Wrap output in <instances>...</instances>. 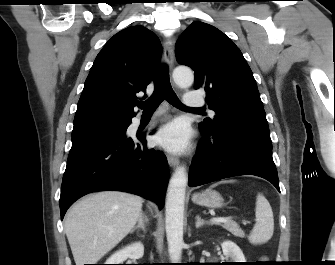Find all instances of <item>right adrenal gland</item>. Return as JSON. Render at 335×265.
Wrapping results in <instances>:
<instances>
[{"label":"right adrenal gland","instance_id":"2a0ac1e0","mask_svg":"<svg viewBox=\"0 0 335 265\" xmlns=\"http://www.w3.org/2000/svg\"><path fill=\"white\" fill-rule=\"evenodd\" d=\"M146 223H148V218L147 216H145L144 213L141 212L138 218V224L131 230V233H133L135 230H138V229H142L144 232H146V229H145Z\"/></svg>","mask_w":335,"mask_h":265}]
</instances>
